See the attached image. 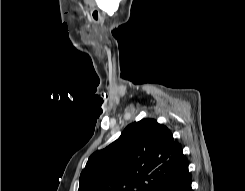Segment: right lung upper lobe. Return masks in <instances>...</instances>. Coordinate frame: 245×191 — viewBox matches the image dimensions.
Segmentation results:
<instances>
[{"label": "right lung upper lobe", "mask_w": 245, "mask_h": 191, "mask_svg": "<svg viewBox=\"0 0 245 191\" xmlns=\"http://www.w3.org/2000/svg\"><path fill=\"white\" fill-rule=\"evenodd\" d=\"M187 168L169 129L154 119H142L90 156L78 191H157Z\"/></svg>", "instance_id": "cb5924a9"}]
</instances>
